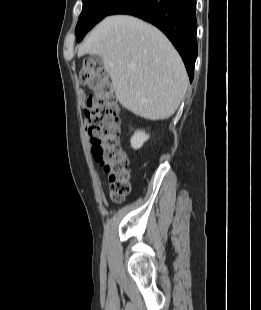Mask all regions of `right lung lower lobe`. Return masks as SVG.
Wrapping results in <instances>:
<instances>
[{
  "label": "right lung lower lobe",
  "instance_id": "98d812e1",
  "mask_svg": "<svg viewBox=\"0 0 261 310\" xmlns=\"http://www.w3.org/2000/svg\"><path fill=\"white\" fill-rule=\"evenodd\" d=\"M195 12L196 0H124L109 15H133L163 31L181 55L191 82L197 57Z\"/></svg>",
  "mask_w": 261,
  "mask_h": 310
}]
</instances>
